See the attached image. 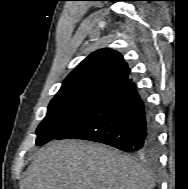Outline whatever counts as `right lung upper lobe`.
Instances as JSON below:
<instances>
[{
	"mask_svg": "<svg viewBox=\"0 0 188 189\" xmlns=\"http://www.w3.org/2000/svg\"><path fill=\"white\" fill-rule=\"evenodd\" d=\"M129 68L122 55L100 49L85 58L64 80L57 94L100 90L112 92L131 83Z\"/></svg>",
	"mask_w": 188,
	"mask_h": 189,
	"instance_id": "cb5924a9",
	"label": "right lung upper lobe"
}]
</instances>
